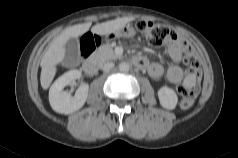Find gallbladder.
Listing matches in <instances>:
<instances>
[{
  "instance_id": "gallbladder-1",
  "label": "gallbladder",
  "mask_w": 238,
  "mask_h": 158,
  "mask_svg": "<svg viewBox=\"0 0 238 158\" xmlns=\"http://www.w3.org/2000/svg\"><path fill=\"white\" fill-rule=\"evenodd\" d=\"M63 62L67 66H75L80 63L79 42L76 38H69L65 46Z\"/></svg>"
}]
</instances>
